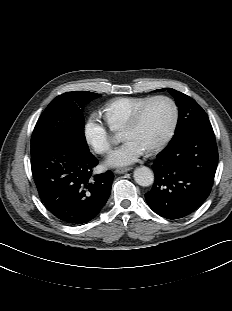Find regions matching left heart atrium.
<instances>
[{
    "label": "left heart atrium",
    "mask_w": 232,
    "mask_h": 311,
    "mask_svg": "<svg viewBox=\"0 0 232 311\" xmlns=\"http://www.w3.org/2000/svg\"><path fill=\"white\" fill-rule=\"evenodd\" d=\"M146 150L147 149L138 141L130 139L108 157L107 163L111 166L132 164L136 162Z\"/></svg>",
    "instance_id": "obj_1"
}]
</instances>
